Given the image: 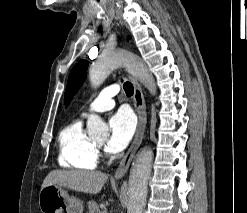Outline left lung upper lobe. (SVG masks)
<instances>
[{
  "mask_svg": "<svg viewBox=\"0 0 247 213\" xmlns=\"http://www.w3.org/2000/svg\"><path fill=\"white\" fill-rule=\"evenodd\" d=\"M88 68V61L82 60L78 62L71 70L65 95H64V104H67L71 101L72 97L81 87Z\"/></svg>",
  "mask_w": 247,
  "mask_h": 213,
  "instance_id": "obj_1",
  "label": "left lung upper lobe"
}]
</instances>
